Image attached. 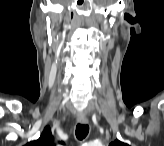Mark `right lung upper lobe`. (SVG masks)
I'll return each instance as SVG.
<instances>
[{"mask_svg": "<svg viewBox=\"0 0 164 146\" xmlns=\"http://www.w3.org/2000/svg\"><path fill=\"white\" fill-rule=\"evenodd\" d=\"M28 146H54L53 136L50 128L46 127L40 138L27 144Z\"/></svg>", "mask_w": 164, "mask_h": 146, "instance_id": "1", "label": "right lung upper lobe"}]
</instances>
